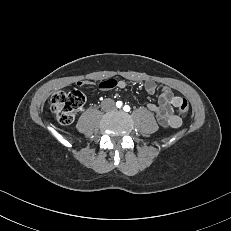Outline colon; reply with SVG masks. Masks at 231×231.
Listing matches in <instances>:
<instances>
[{
  "label": "colon",
  "mask_w": 231,
  "mask_h": 231,
  "mask_svg": "<svg viewBox=\"0 0 231 231\" xmlns=\"http://www.w3.org/2000/svg\"><path fill=\"white\" fill-rule=\"evenodd\" d=\"M84 103V94L79 89L72 88L69 91L56 92L51 98L50 108L59 123L68 125L73 122L75 113ZM178 109L182 114L189 112V103L185 98L182 99Z\"/></svg>",
  "instance_id": "1"
}]
</instances>
